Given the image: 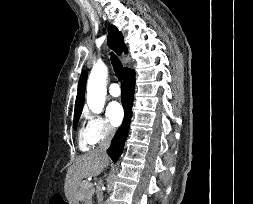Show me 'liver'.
<instances>
[{
	"label": "liver",
	"instance_id": "1",
	"mask_svg": "<svg viewBox=\"0 0 253 204\" xmlns=\"http://www.w3.org/2000/svg\"><path fill=\"white\" fill-rule=\"evenodd\" d=\"M109 164L107 154H102L99 149L77 157L68 169L65 180V192L70 204H78L80 199V182L87 177H95L103 172Z\"/></svg>",
	"mask_w": 253,
	"mask_h": 204
}]
</instances>
